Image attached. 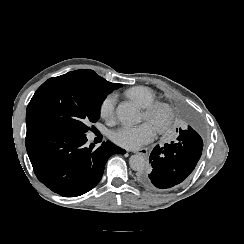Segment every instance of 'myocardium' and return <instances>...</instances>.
Segmentation results:
<instances>
[{
    "instance_id": "1",
    "label": "myocardium",
    "mask_w": 244,
    "mask_h": 244,
    "mask_svg": "<svg viewBox=\"0 0 244 244\" xmlns=\"http://www.w3.org/2000/svg\"><path fill=\"white\" fill-rule=\"evenodd\" d=\"M144 114L146 116L147 121L151 116L159 117L158 120L153 125L161 133L168 130L172 124L173 117L171 116L172 115L171 112L165 107L163 108L162 105L153 104L151 106H148L144 108Z\"/></svg>"
}]
</instances>
